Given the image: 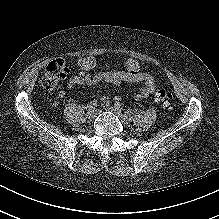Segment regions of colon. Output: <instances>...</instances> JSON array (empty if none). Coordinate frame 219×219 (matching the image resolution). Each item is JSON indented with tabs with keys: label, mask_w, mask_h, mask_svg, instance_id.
<instances>
[{
	"label": "colon",
	"mask_w": 219,
	"mask_h": 219,
	"mask_svg": "<svg viewBox=\"0 0 219 219\" xmlns=\"http://www.w3.org/2000/svg\"><path fill=\"white\" fill-rule=\"evenodd\" d=\"M84 66L86 68H92L94 66L93 58H86L84 60ZM69 69L65 61L61 58L54 59L51 61L43 71L40 85L44 90L55 89L61 80H63ZM155 99L163 103L166 110H171L173 108V97L172 94L164 89H160L155 93Z\"/></svg>",
	"instance_id": "5ec220e1"
}]
</instances>
